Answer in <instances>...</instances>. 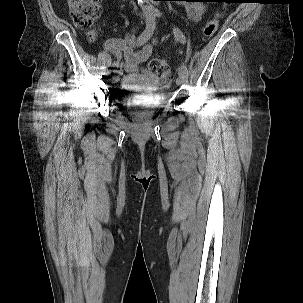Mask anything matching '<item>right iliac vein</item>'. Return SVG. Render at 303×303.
<instances>
[{"mask_svg":"<svg viewBox=\"0 0 303 303\" xmlns=\"http://www.w3.org/2000/svg\"><path fill=\"white\" fill-rule=\"evenodd\" d=\"M123 73V70L122 69H119L117 71H115L114 75L112 76V78L115 80L117 79L120 75H122Z\"/></svg>","mask_w":303,"mask_h":303,"instance_id":"1","label":"right iliac vein"}]
</instances>
